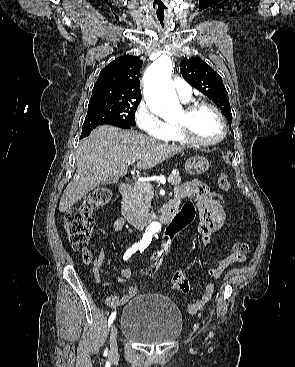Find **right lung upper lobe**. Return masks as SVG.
<instances>
[{
  "instance_id": "obj_1",
  "label": "right lung upper lobe",
  "mask_w": 295,
  "mask_h": 367,
  "mask_svg": "<svg viewBox=\"0 0 295 367\" xmlns=\"http://www.w3.org/2000/svg\"><path fill=\"white\" fill-rule=\"evenodd\" d=\"M142 61L137 56L123 55L101 70L92 94H108L140 99V69Z\"/></svg>"
}]
</instances>
